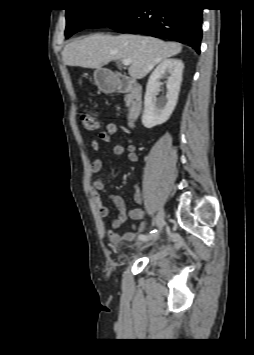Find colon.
Returning a JSON list of instances; mask_svg holds the SVG:
<instances>
[{"label":"colon","mask_w":254,"mask_h":355,"mask_svg":"<svg viewBox=\"0 0 254 355\" xmlns=\"http://www.w3.org/2000/svg\"><path fill=\"white\" fill-rule=\"evenodd\" d=\"M81 124L83 129L88 132H93L99 127L97 118L93 114L87 112L81 115Z\"/></svg>","instance_id":"5ec220e1"}]
</instances>
